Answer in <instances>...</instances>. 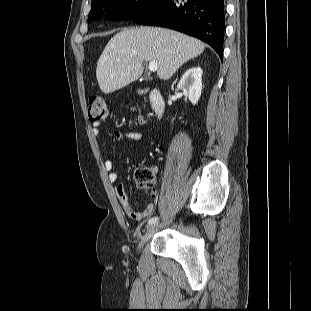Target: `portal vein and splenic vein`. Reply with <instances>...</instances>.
<instances>
[{"label": "portal vein and splenic vein", "mask_w": 311, "mask_h": 311, "mask_svg": "<svg viewBox=\"0 0 311 311\" xmlns=\"http://www.w3.org/2000/svg\"><path fill=\"white\" fill-rule=\"evenodd\" d=\"M148 69H149V71H151V72L157 71V69H158L157 63H155V62H150L149 65H148Z\"/></svg>", "instance_id": "18ae733b"}]
</instances>
